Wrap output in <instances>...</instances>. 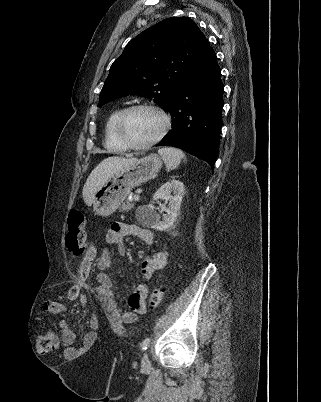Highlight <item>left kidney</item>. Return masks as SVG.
<instances>
[{"instance_id":"obj_1","label":"left kidney","mask_w":321,"mask_h":402,"mask_svg":"<svg viewBox=\"0 0 321 402\" xmlns=\"http://www.w3.org/2000/svg\"><path fill=\"white\" fill-rule=\"evenodd\" d=\"M184 193L185 188L182 182L175 179L169 180L155 192L151 204L138 209L137 220L145 226L159 231L171 228L179 214ZM158 199H164L168 202V207L163 206L162 208V211L166 213L162 220L153 205L154 201Z\"/></svg>"}]
</instances>
